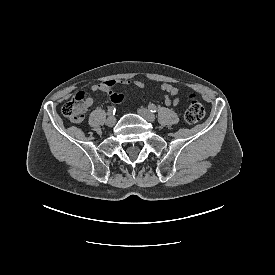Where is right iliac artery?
Segmentation results:
<instances>
[{
  "label": "right iliac artery",
  "mask_w": 275,
  "mask_h": 275,
  "mask_svg": "<svg viewBox=\"0 0 275 275\" xmlns=\"http://www.w3.org/2000/svg\"><path fill=\"white\" fill-rule=\"evenodd\" d=\"M115 112H116V108L115 107H109V109H108V114L109 115H114L115 114Z\"/></svg>",
  "instance_id": "82829eb1"
}]
</instances>
